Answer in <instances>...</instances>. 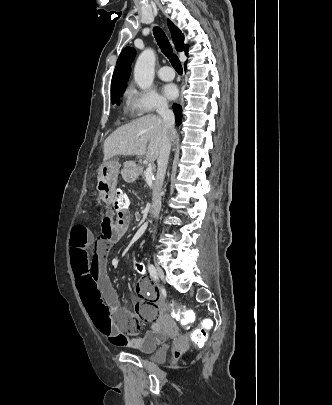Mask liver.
<instances>
[{"label":"liver","mask_w":332,"mask_h":405,"mask_svg":"<svg viewBox=\"0 0 332 405\" xmlns=\"http://www.w3.org/2000/svg\"><path fill=\"white\" fill-rule=\"evenodd\" d=\"M165 128L160 117L147 115L121 126L110 134L104 142V160L115 155L146 156L155 161L160 153ZM176 137L174 132L171 139Z\"/></svg>","instance_id":"liver-1"}]
</instances>
